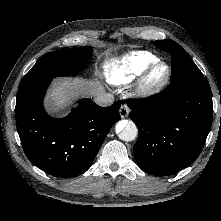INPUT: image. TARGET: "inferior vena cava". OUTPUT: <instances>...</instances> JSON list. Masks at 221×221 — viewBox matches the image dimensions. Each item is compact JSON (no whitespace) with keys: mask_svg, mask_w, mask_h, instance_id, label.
<instances>
[{"mask_svg":"<svg viewBox=\"0 0 221 221\" xmlns=\"http://www.w3.org/2000/svg\"><path fill=\"white\" fill-rule=\"evenodd\" d=\"M94 101L99 106H110L114 102V96L111 93H102L95 97Z\"/></svg>","mask_w":221,"mask_h":221,"instance_id":"inferior-vena-cava-1","label":"inferior vena cava"}]
</instances>
